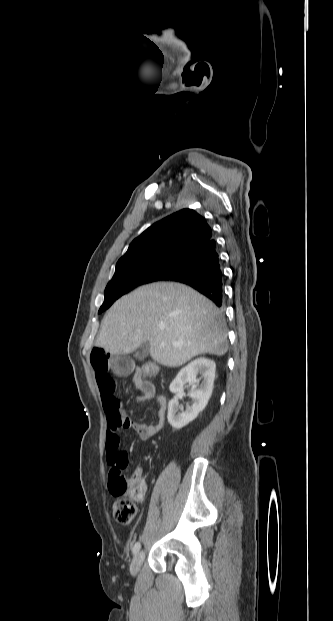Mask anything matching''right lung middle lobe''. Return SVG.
<instances>
[{
  "instance_id": "1",
  "label": "right lung middle lobe",
  "mask_w": 333,
  "mask_h": 621,
  "mask_svg": "<svg viewBox=\"0 0 333 621\" xmlns=\"http://www.w3.org/2000/svg\"><path fill=\"white\" fill-rule=\"evenodd\" d=\"M185 258L160 257L116 264L115 274L105 289L104 303L99 313L108 309L115 300L137 286L163 280L172 274Z\"/></svg>"
}]
</instances>
